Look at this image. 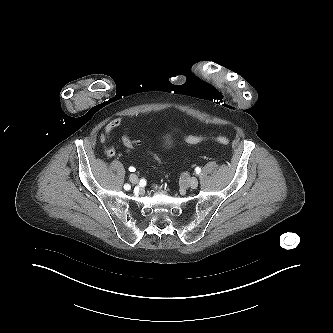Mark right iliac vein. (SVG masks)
<instances>
[{"instance_id": "obj_1", "label": "right iliac vein", "mask_w": 333, "mask_h": 333, "mask_svg": "<svg viewBox=\"0 0 333 333\" xmlns=\"http://www.w3.org/2000/svg\"><path fill=\"white\" fill-rule=\"evenodd\" d=\"M130 181H131L133 184H137V183H138V177H137L135 174H131V175H130Z\"/></svg>"}]
</instances>
